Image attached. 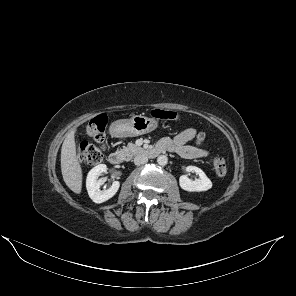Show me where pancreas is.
<instances>
[{
    "instance_id": "obj_1",
    "label": "pancreas",
    "mask_w": 296,
    "mask_h": 296,
    "mask_svg": "<svg viewBox=\"0 0 296 296\" xmlns=\"http://www.w3.org/2000/svg\"><path fill=\"white\" fill-rule=\"evenodd\" d=\"M127 160L131 159L134 155L144 152L142 147L137 146L134 143H129L126 147L119 151Z\"/></svg>"
}]
</instances>
